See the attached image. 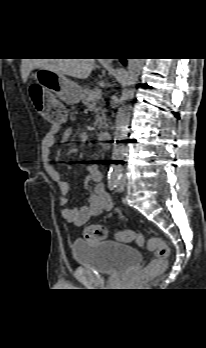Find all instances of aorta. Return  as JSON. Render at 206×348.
Returning <instances> with one entry per match:
<instances>
[{"label": "aorta", "instance_id": "aorta-1", "mask_svg": "<svg viewBox=\"0 0 206 348\" xmlns=\"http://www.w3.org/2000/svg\"><path fill=\"white\" fill-rule=\"evenodd\" d=\"M145 59H129L127 67V75L123 82V91L121 94V105L118 108L115 122V133L113 143V154L122 156L125 151L123 140L127 137L128 126L130 122V107L127 101L133 99L135 89L134 86L138 82V78Z\"/></svg>", "mask_w": 206, "mask_h": 348}]
</instances>
